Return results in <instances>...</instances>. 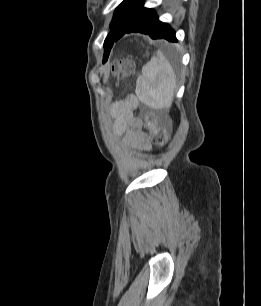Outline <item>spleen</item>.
<instances>
[{
  "label": "spleen",
  "instance_id": "3e777b00",
  "mask_svg": "<svg viewBox=\"0 0 261 306\" xmlns=\"http://www.w3.org/2000/svg\"><path fill=\"white\" fill-rule=\"evenodd\" d=\"M173 67L161 51L142 68L137 79L136 95L141 102L154 109H169L176 87Z\"/></svg>",
  "mask_w": 261,
  "mask_h": 306
}]
</instances>
